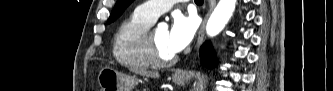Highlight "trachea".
<instances>
[{"instance_id": "1", "label": "trachea", "mask_w": 333, "mask_h": 91, "mask_svg": "<svg viewBox=\"0 0 333 91\" xmlns=\"http://www.w3.org/2000/svg\"><path fill=\"white\" fill-rule=\"evenodd\" d=\"M196 3H203V0H195Z\"/></svg>"}]
</instances>
